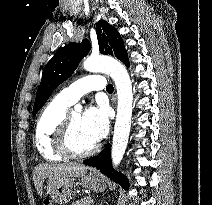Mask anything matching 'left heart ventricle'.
<instances>
[{"instance_id":"1","label":"left heart ventricle","mask_w":212,"mask_h":205,"mask_svg":"<svg viewBox=\"0 0 212 205\" xmlns=\"http://www.w3.org/2000/svg\"><path fill=\"white\" fill-rule=\"evenodd\" d=\"M70 144L76 151H83L91 147L95 141L88 135L82 124L80 113L71 114Z\"/></svg>"}]
</instances>
